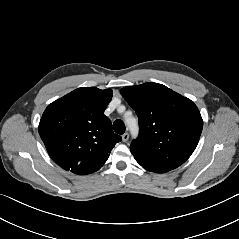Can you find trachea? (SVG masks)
I'll list each match as a JSON object with an SVG mask.
<instances>
[{"instance_id": "3493384b", "label": "trachea", "mask_w": 239, "mask_h": 239, "mask_svg": "<svg viewBox=\"0 0 239 239\" xmlns=\"http://www.w3.org/2000/svg\"><path fill=\"white\" fill-rule=\"evenodd\" d=\"M113 129L117 134H123L126 128L124 122L120 119H117L113 123Z\"/></svg>"}]
</instances>
